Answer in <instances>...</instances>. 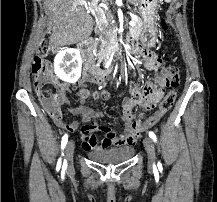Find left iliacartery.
<instances>
[{
  "instance_id": "44dca946",
  "label": "left iliac artery",
  "mask_w": 217,
  "mask_h": 202,
  "mask_svg": "<svg viewBox=\"0 0 217 202\" xmlns=\"http://www.w3.org/2000/svg\"><path fill=\"white\" fill-rule=\"evenodd\" d=\"M149 137L154 141V142H156V135L152 132V131H150L149 132ZM159 164V163H158Z\"/></svg>"
}]
</instances>
